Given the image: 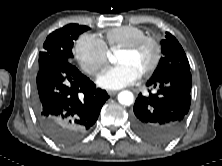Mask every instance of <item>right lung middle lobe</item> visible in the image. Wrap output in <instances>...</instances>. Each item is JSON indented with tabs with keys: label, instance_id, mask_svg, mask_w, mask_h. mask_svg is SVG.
<instances>
[{
	"label": "right lung middle lobe",
	"instance_id": "right-lung-middle-lobe-1",
	"mask_svg": "<svg viewBox=\"0 0 222 166\" xmlns=\"http://www.w3.org/2000/svg\"><path fill=\"white\" fill-rule=\"evenodd\" d=\"M87 30H89L87 26L69 24L52 32L39 53V68L53 63L71 62L74 41Z\"/></svg>",
	"mask_w": 222,
	"mask_h": 166
}]
</instances>
